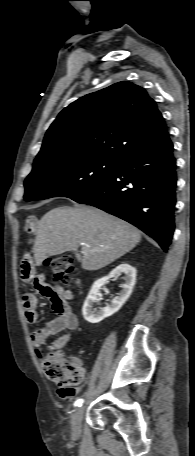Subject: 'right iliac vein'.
<instances>
[{
	"label": "right iliac vein",
	"mask_w": 195,
	"mask_h": 456,
	"mask_svg": "<svg viewBox=\"0 0 195 456\" xmlns=\"http://www.w3.org/2000/svg\"><path fill=\"white\" fill-rule=\"evenodd\" d=\"M82 417H83V408L78 407L77 409H75V411L72 415V419H71L72 435L75 438H78L80 436Z\"/></svg>",
	"instance_id": "right-iliac-vein-1"
}]
</instances>
